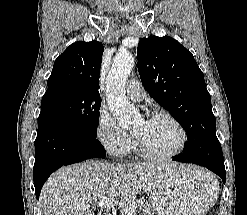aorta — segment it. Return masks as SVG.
<instances>
[{
  "label": "aorta",
  "mask_w": 247,
  "mask_h": 215,
  "mask_svg": "<svg viewBox=\"0 0 247 215\" xmlns=\"http://www.w3.org/2000/svg\"><path fill=\"white\" fill-rule=\"evenodd\" d=\"M134 66V57L120 52L113 59L106 79V97L110 112L122 128L133 126L140 117L139 111L127 100L125 85Z\"/></svg>",
  "instance_id": "1"
}]
</instances>
